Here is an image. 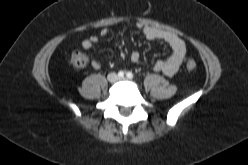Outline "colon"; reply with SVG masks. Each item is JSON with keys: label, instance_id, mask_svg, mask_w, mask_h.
Listing matches in <instances>:
<instances>
[{"label": "colon", "instance_id": "colon-1", "mask_svg": "<svg viewBox=\"0 0 248 165\" xmlns=\"http://www.w3.org/2000/svg\"><path fill=\"white\" fill-rule=\"evenodd\" d=\"M70 63L77 69H83L88 65V58L83 52L74 51L71 55ZM196 67L197 64L194 60H188L186 62V68L188 71H194Z\"/></svg>", "mask_w": 248, "mask_h": 165}]
</instances>
